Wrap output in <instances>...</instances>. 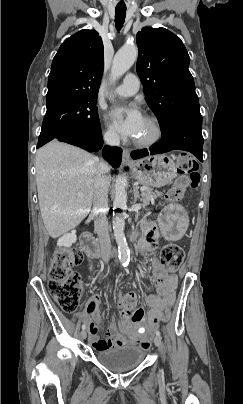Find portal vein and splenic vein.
<instances>
[{
	"label": "portal vein and splenic vein",
	"mask_w": 243,
	"mask_h": 404,
	"mask_svg": "<svg viewBox=\"0 0 243 404\" xmlns=\"http://www.w3.org/2000/svg\"><path fill=\"white\" fill-rule=\"evenodd\" d=\"M140 190H141V192H144V190H148V188H145V186H144V188H140ZM78 196H82L81 192H78Z\"/></svg>",
	"instance_id": "obj_1"
}]
</instances>
